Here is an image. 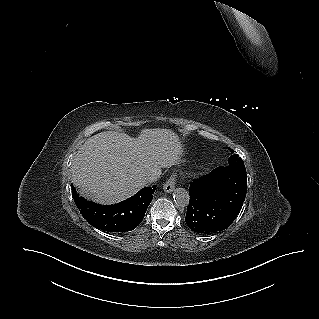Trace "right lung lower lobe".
Listing matches in <instances>:
<instances>
[{
    "mask_svg": "<svg viewBox=\"0 0 319 319\" xmlns=\"http://www.w3.org/2000/svg\"><path fill=\"white\" fill-rule=\"evenodd\" d=\"M155 189V185L145 187L134 196L109 206L85 200L76 193L74 187L72 197L83 218L92 226L107 232H126L135 229L141 223Z\"/></svg>",
    "mask_w": 319,
    "mask_h": 319,
    "instance_id": "98d812e1",
    "label": "right lung lower lobe"
}]
</instances>
